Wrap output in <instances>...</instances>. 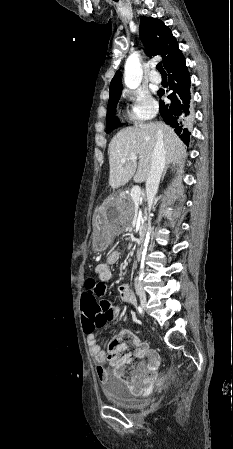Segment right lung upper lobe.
<instances>
[{"label":"right lung upper lobe","instance_id":"obj_1","mask_svg":"<svg viewBox=\"0 0 233 449\" xmlns=\"http://www.w3.org/2000/svg\"><path fill=\"white\" fill-rule=\"evenodd\" d=\"M140 37L150 56L161 55L163 66L170 71L184 61L178 48L176 38L171 30L161 20L152 17H142L139 28ZM121 73L117 71L110 83V97L121 94Z\"/></svg>","mask_w":233,"mask_h":449}]
</instances>
